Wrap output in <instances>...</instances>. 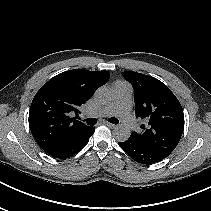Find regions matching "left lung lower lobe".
I'll return each instance as SVG.
<instances>
[{"label": "left lung lower lobe", "instance_id": "obj_1", "mask_svg": "<svg viewBox=\"0 0 211 211\" xmlns=\"http://www.w3.org/2000/svg\"><path fill=\"white\" fill-rule=\"evenodd\" d=\"M119 146L136 162L141 164H152L164 159L163 156L143 147L132 138L124 142H119Z\"/></svg>", "mask_w": 211, "mask_h": 211}]
</instances>
